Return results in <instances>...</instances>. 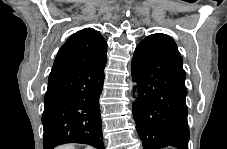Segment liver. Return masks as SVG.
<instances>
[{
    "instance_id": "6515ba94",
    "label": "liver",
    "mask_w": 227,
    "mask_h": 149,
    "mask_svg": "<svg viewBox=\"0 0 227 149\" xmlns=\"http://www.w3.org/2000/svg\"><path fill=\"white\" fill-rule=\"evenodd\" d=\"M57 149H75V146L72 144L59 146Z\"/></svg>"
}]
</instances>
